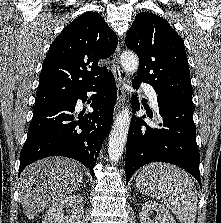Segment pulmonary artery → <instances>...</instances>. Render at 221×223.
Wrapping results in <instances>:
<instances>
[{"label": "pulmonary artery", "instance_id": "obj_1", "mask_svg": "<svg viewBox=\"0 0 221 223\" xmlns=\"http://www.w3.org/2000/svg\"><path fill=\"white\" fill-rule=\"evenodd\" d=\"M142 85L144 87V91H145L146 95L148 96L152 107L156 111H158V99H157L156 91L146 83H143Z\"/></svg>", "mask_w": 221, "mask_h": 223}]
</instances>
